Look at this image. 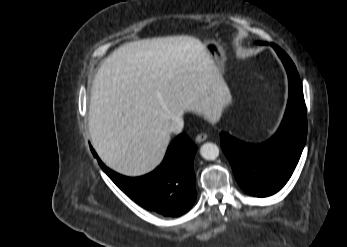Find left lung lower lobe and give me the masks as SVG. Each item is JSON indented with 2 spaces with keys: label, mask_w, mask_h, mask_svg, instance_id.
I'll return each instance as SVG.
<instances>
[{
  "label": "left lung lower lobe",
  "mask_w": 347,
  "mask_h": 247,
  "mask_svg": "<svg viewBox=\"0 0 347 247\" xmlns=\"http://www.w3.org/2000/svg\"><path fill=\"white\" fill-rule=\"evenodd\" d=\"M289 80V98L277 132L262 144H249L222 132L221 147L237 182L248 194L267 197L278 192L290 179L307 136L306 106L295 65L277 45Z\"/></svg>",
  "instance_id": "0a47b994"
}]
</instances>
